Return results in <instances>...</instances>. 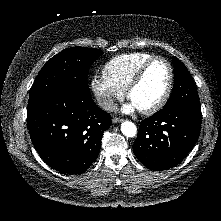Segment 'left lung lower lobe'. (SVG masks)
I'll return each instance as SVG.
<instances>
[{"mask_svg": "<svg viewBox=\"0 0 221 221\" xmlns=\"http://www.w3.org/2000/svg\"><path fill=\"white\" fill-rule=\"evenodd\" d=\"M201 107L175 105L163 108L140 122L133 151L154 171L177 166L197 142Z\"/></svg>", "mask_w": 221, "mask_h": 221, "instance_id": "1", "label": "left lung lower lobe"}]
</instances>
